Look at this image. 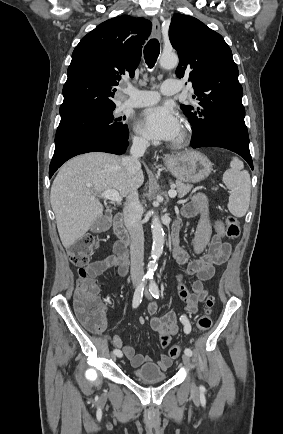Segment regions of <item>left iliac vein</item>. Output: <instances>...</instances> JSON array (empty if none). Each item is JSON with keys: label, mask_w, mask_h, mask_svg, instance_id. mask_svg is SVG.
I'll list each match as a JSON object with an SVG mask.
<instances>
[{"label": "left iliac vein", "mask_w": 283, "mask_h": 434, "mask_svg": "<svg viewBox=\"0 0 283 434\" xmlns=\"http://www.w3.org/2000/svg\"><path fill=\"white\" fill-rule=\"evenodd\" d=\"M145 295H146L147 298H150V295H149L147 289H145ZM182 360H183V362H184L186 365H188L189 362H190V358H189V356L186 355V354H184V355L182 356ZM191 390H192V392H196V391H197V387H196V385H195L194 382H192V384H191Z\"/></svg>", "instance_id": "obj_1"}]
</instances>
